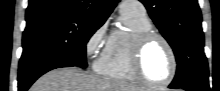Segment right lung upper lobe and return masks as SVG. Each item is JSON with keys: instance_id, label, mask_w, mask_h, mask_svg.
Returning a JSON list of instances; mask_svg holds the SVG:
<instances>
[{"instance_id": "cb5924a9", "label": "right lung upper lobe", "mask_w": 220, "mask_h": 91, "mask_svg": "<svg viewBox=\"0 0 220 91\" xmlns=\"http://www.w3.org/2000/svg\"><path fill=\"white\" fill-rule=\"evenodd\" d=\"M119 0H29L27 24L73 18L103 25Z\"/></svg>"}]
</instances>
